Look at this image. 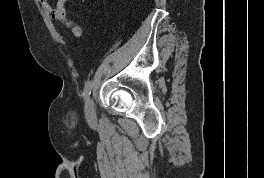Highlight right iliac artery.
<instances>
[{
    "mask_svg": "<svg viewBox=\"0 0 264 178\" xmlns=\"http://www.w3.org/2000/svg\"><path fill=\"white\" fill-rule=\"evenodd\" d=\"M91 89H92V82L88 81L86 83V85H85L84 94H83L85 100L89 99V96H90V93H91Z\"/></svg>",
    "mask_w": 264,
    "mask_h": 178,
    "instance_id": "1",
    "label": "right iliac artery"
}]
</instances>
